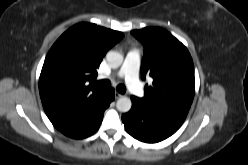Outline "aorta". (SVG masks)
Here are the masks:
<instances>
[{
	"label": "aorta",
	"instance_id": "obj_1",
	"mask_svg": "<svg viewBox=\"0 0 248 165\" xmlns=\"http://www.w3.org/2000/svg\"><path fill=\"white\" fill-rule=\"evenodd\" d=\"M106 59L112 68H118L123 62V55L117 51H109L106 54ZM132 107L131 99L123 96L116 102V108L118 111L126 113L130 111Z\"/></svg>",
	"mask_w": 248,
	"mask_h": 165
}]
</instances>
